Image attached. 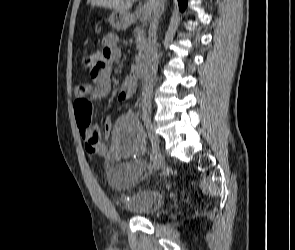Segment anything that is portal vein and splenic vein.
<instances>
[{
	"mask_svg": "<svg viewBox=\"0 0 295 250\" xmlns=\"http://www.w3.org/2000/svg\"><path fill=\"white\" fill-rule=\"evenodd\" d=\"M136 0H132L134 2ZM151 15V10L146 6V9L143 11V17L144 19H147Z\"/></svg>",
	"mask_w": 295,
	"mask_h": 250,
	"instance_id": "portal-vein-and-splenic-vein-1",
	"label": "portal vein and splenic vein"
}]
</instances>
